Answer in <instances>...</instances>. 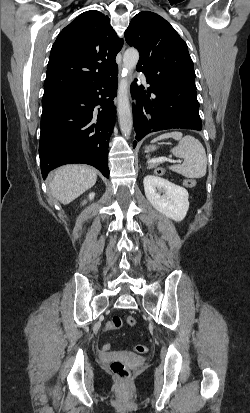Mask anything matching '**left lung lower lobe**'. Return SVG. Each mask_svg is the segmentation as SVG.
<instances>
[{"label": "left lung lower lobe", "mask_w": 250, "mask_h": 413, "mask_svg": "<svg viewBox=\"0 0 250 413\" xmlns=\"http://www.w3.org/2000/svg\"><path fill=\"white\" fill-rule=\"evenodd\" d=\"M144 74L150 85L147 89L136 83L131 85V95L136 100V105H133V125L138 141L160 130L202 129L195 82L183 85L173 79L155 82ZM136 144L134 141L133 146Z\"/></svg>", "instance_id": "left-lung-lower-lobe-1"}]
</instances>
